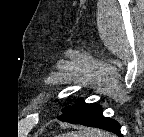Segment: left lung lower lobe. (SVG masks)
I'll use <instances>...</instances> for the list:
<instances>
[{"mask_svg": "<svg viewBox=\"0 0 144 137\" xmlns=\"http://www.w3.org/2000/svg\"><path fill=\"white\" fill-rule=\"evenodd\" d=\"M58 119L63 122L101 128L122 137L117 121L104 117L99 105L85 103L83 99L62 109V114L58 116Z\"/></svg>", "mask_w": 144, "mask_h": 137, "instance_id": "0a47b994", "label": "left lung lower lobe"}]
</instances>
